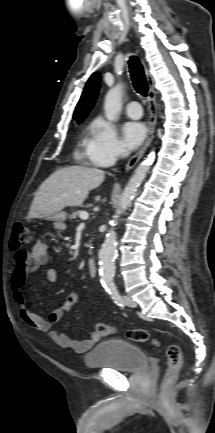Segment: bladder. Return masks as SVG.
Here are the masks:
<instances>
[{
	"label": "bladder",
	"instance_id": "1",
	"mask_svg": "<svg viewBox=\"0 0 215 433\" xmlns=\"http://www.w3.org/2000/svg\"><path fill=\"white\" fill-rule=\"evenodd\" d=\"M88 368H104L133 373L148 365L146 353L138 346L120 339L101 341L84 357Z\"/></svg>",
	"mask_w": 215,
	"mask_h": 433
}]
</instances>
